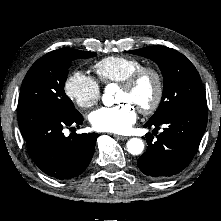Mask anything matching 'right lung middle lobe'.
<instances>
[{"label":"right lung middle lobe","mask_w":221,"mask_h":221,"mask_svg":"<svg viewBox=\"0 0 221 221\" xmlns=\"http://www.w3.org/2000/svg\"><path fill=\"white\" fill-rule=\"evenodd\" d=\"M96 53L61 48L38 59L27 72L19 94L18 109L39 105L66 116L80 114L65 94L64 83L74 59L94 57Z\"/></svg>","instance_id":"1"}]
</instances>
